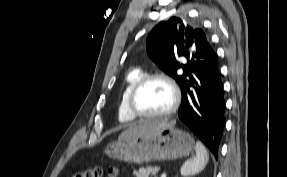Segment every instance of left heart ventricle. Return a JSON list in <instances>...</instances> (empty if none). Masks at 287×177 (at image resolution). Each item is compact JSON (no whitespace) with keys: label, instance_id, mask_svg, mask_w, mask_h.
Here are the masks:
<instances>
[{"label":"left heart ventricle","instance_id":"b2bd125f","mask_svg":"<svg viewBox=\"0 0 287 177\" xmlns=\"http://www.w3.org/2000/svg\"><path fill=\"white\" fill-rule=\"evenodd\" d=\"M135 103L138 110L143 113H162L171 106L172 93L164 82L153 80L140 90Z\"/></svg>","mask_w":287,"mask_h":177}]
</instances>
